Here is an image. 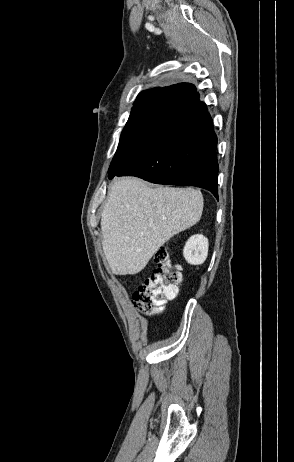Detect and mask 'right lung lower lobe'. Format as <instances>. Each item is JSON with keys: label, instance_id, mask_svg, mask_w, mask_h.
<instances>
[{"label": "right lung lower lobe", "instance_id": "right-lung-lower-lobe-1", "mask_svg": "<svg viewBox=\"0 0 294 462\" xmlns=\"http://www.w3.org/2000/svg\"><path fill=\"white\" fill-rule=\"evenodd\" d=\"M194 91L184 110L114 176H137L157 184L197 186L218 199L217 137L206 105Z\"/></svg>", "mask_w": 294, "mask_h": 462}]
</instances>
